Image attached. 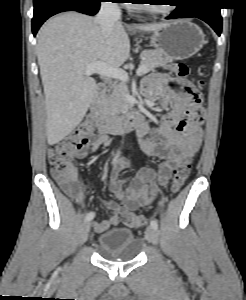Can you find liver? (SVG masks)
Returning <instances> with one entry per match:
<instances>
[{
	"label": "liver",
	"mask_w": 246,
	"mask_h": 300,
	"mask_svg": "<svg viewBox=\"0 0 246 300\" xmlns=\"http://www.w3.org/2000/svg\"><path fill=\"white\" fill-rule=\"evenodd\" d=\"M164 25L134 28L149 32ZM36 50L45 94L47 142L54 145L81 123L93 101L96 84L85 75V67L97 61L120 67L130 55V41L121 22L104 37L94 18L66 12L41 27Z\"/></svg>",
	"instance_id": "liver-1"
}]
</instances>
